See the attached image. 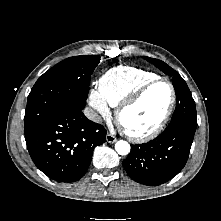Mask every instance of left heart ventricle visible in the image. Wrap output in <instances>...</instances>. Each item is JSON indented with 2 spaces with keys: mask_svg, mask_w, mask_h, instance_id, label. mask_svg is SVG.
<instances>
[{
  "mask_svg": "<svg viewBox=\"0 0 221 221\" xmlns=\"http://www.w3.org/2000/svg\"><path fill=\"white\" fill-rule=\"evenodd\" d=\"M170 98L171 90L168 84L161 82L152 86L136 105L123 113L124 125L137 133L150 131L165 114Z\"/></svg>",
  "mask_w": 221,
  "mask_h": 221,
  "instance_id": "obj_1",
  "label": "left heart ventricle"
}]
</instances>
